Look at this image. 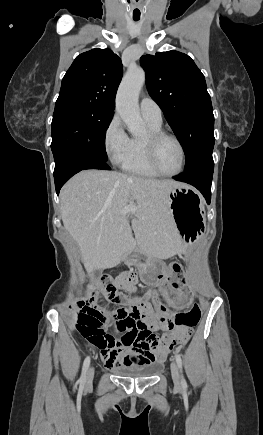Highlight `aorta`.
Instances as JSON below:
<instances>
[{
	"label": "aorta",
	"mask_w": 263,
	"mask_h": 435,
	"mask_svg": "<svg viewBox=\"0 0 263 435\" xmlns=\"http://www.w3.org/2000/svg\"><path fill=\"white\" fill-rule=\"evenodd\" d=\"M144 83V71L141 68L131 69L122 79L116 96V111L135 136L145 131L138 106L139 92Z\"/></svg>",
	"instance_id": "1"
}]
</instances>
